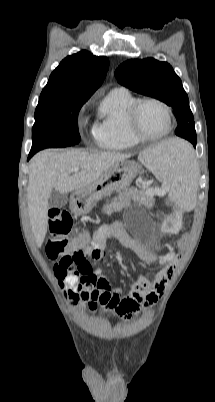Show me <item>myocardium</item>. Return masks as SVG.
Returning <instances> with one entry per match:
<instances>
[{"mask_svg":"<svg viewBox=\"0 0 215 402\" xmlns=\"http://www.w3.org/2000/svg\"><path fill=\"white\" fill-rule=\"evenodd\" d=\"M146 103H154L160 106L166 113L168 118V127L165 132L159 135H149L143 132L139 125V112L141 107ZM128 127L134 137L142 141H156L167 137L173 128V115L170 107L162 100L154 97H145L137 99L128 111Z\"/></svg>","mask_w":215,"mask_h":402,"instance_id":"1","label":"myocardium"}]
</instances>
